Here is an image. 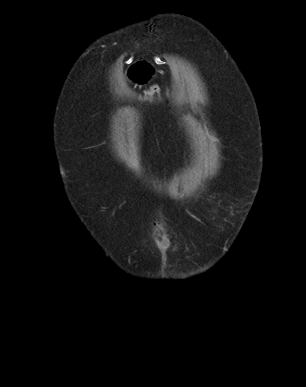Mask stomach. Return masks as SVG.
I'll return each mask as SVG.
<instances>
[{"instance_id":"stomach-1","label":"stomach","mask_w":306,"mask_h":387,"mask_svg":"<svg viewBox=\"0 0 306 387\" xmlns=\"http://www.w3.org/2000/svg\"><path fill=\"white\" fill-rule=\"evenodd\" d=\"M134 66H125V73L128 77H133V82H156V75H149V73H156L157 67L150 66V61H135Z\"/></svg>"}]
</instances>
